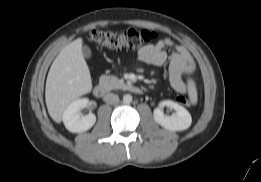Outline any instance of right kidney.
<instances>
[{"label":"right kidney","instance_id":"obj_1","mask_svg":"<svg viewBox=\"0 0 261 182\" xmlns=\"http://www.w3.org/2000/svg\"><path fill=\"white\" fill-rule=\"evenodd\" d=\"M87 98L77 99L71 102L63 112L62 120L67 130L72 133H81L89 130L96 122V116L89 113L81 116L79 111L88 106Z\"/></svg>","mask_w":261,"mask_h":182}]
</instances>
